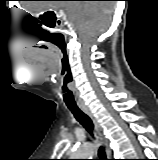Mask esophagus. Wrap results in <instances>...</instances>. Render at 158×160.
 <instances>
[{"mask_svg": "<svg viewBox=\"0 0 158 160\" xmlns=\"http://www.w3.org/2000/svg\"><path fill=\"white\" fill-rule=\"evenodd\" d=\"M79 108L91 119V121L94 125V128H95L96 134H97L99 140L101 141V143L104 145L107 156L110 157L111 150L109 148L108 140L106 139V137L103 133L102 127L98 124L96 118L94 117V115L92 114V112L90 111L89 108H87L84 105H79Z\"/></svg>", "mask_w": 158, "mask_h": 160, "instance_id": "obj_1", "label": "esophagus"}]
</instances>
